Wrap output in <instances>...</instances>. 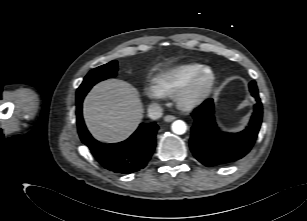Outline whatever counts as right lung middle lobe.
Segmentation results:
<instances>
[{
	"mask_svg": "<svg viewBox=\"0 0 307 221\" xmlns=\"http://www.w3.org/2000/svg\"><path fill=\"white\" fill-rule=\"evenodd\" d=\"M117 61L113 60L105 65L91 70L77 89V101L83 99L88 91L98 82L114 77L117 74Z\"/></svg>",
	"mask_w": 307,
	"mask_h": 221,
	"instance_id": "dd1d6c3e",
	"label": "right lung middle lobe"
}]
</instances>
